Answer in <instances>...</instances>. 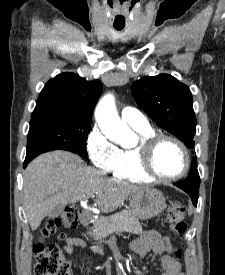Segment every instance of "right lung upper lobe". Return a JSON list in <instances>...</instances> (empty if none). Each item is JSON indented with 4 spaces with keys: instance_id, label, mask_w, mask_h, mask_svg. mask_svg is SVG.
<instances>
[{
    "instance_id": "right-lung-upper-lobe-1",
    "label": "right lung upper lobe",
    "mask_w": 225,
    "mask_h": 275,
    "mask_svg": "<svg viewBox=\"0 0 225 275\" xmlns=\"http://www.w3.org/2000/svg\"><path fill=\"white\" fill-rule=\"evenodd\" d=\"M101 92L99 80L86 81L74 73H61L44 86L31 118L59 116L91 119Z\"/></svg>"
}]
</instances>
